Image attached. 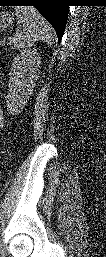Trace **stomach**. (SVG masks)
Listing matches in <instances>:
<instances>
[{"label": "stomach", "mask_w": 106, "mask_h": 257, "mask_svg": "<svg viewBox=\"0 0 106 257\" xmlns=\"http://www.w3.org/2000/svg\"><path fill=\"white\" fill-rule=\"evenodd\" d=\"M13 20V14L9 13L8 11H3L1 13L0 28L4 30L5 28L9 27Z\"/></svg>", "instance_id": "stomach-1"}]
</instances>
